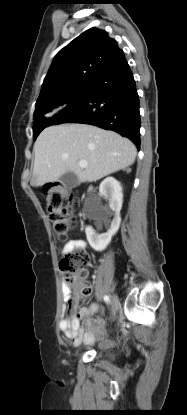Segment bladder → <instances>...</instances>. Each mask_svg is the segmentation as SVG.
<instances>
[{"instance_id":"bladder-1","label":"bladder","mask_w":187,"mask_h":415,"mask_svg":"<svg viewBox=\"0 0 187 415\" xmlns=\"http://www.w3.org/2000/svg\"><path fill=\"white\" fill-rule=\"evenodd\" d=\"M101 355L108 360H112L115 357V351L112 349H104L101 351Z\"/></svg>"}]
</instances>
